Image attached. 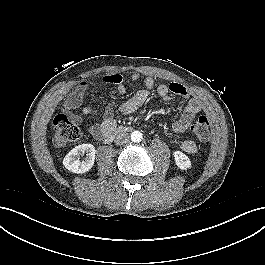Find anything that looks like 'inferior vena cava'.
Wrapping results in <instances>:
<instances>
[{"mask_svg":"<svg viewBox=\"0 0 265 265\" xmlns=\"http://www.w3.org/2000/svg\"><path fill=\"white\" fill-rule=\"evenodd\" d=\"M129 134L126 133V132H121V133H118L115 137V144L116 145H122V144H125L129 141Z\"/></svg>","mask_w":265,"mask_h":265,"instance_id":"602c4592","label":"inferior vena cava"}]
</instances>
